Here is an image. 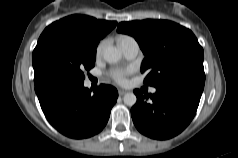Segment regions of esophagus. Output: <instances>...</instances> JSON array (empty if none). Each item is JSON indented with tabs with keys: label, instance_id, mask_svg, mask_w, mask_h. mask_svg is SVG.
<instances>
[{
	"label": "esophagus",
	"instance_id": "esophagus-1",
	"mask_svg": "<svg viewBox=\"0 0 238 158\" xmlns=\"http://www.w3.org/2000/svg\"><path fill=\"white\" fill-rule=\"evenodd\" d=\"M126 92H127L126 90H122V89L118 90V94L120 96H123Z\"/></svg>",
	"mask_w": 238,
	"mask_h": 158
}]
</instances>
